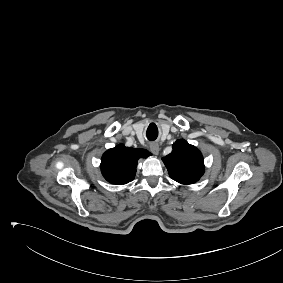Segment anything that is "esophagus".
Returning a JSON list of instances; mask_svg holds the SVG:
<instances>
[{"instance_id":"1","label":"esophagus","mask_w":283,"mask_h":283,"mask_svg":"<svg viewBox=\"0 0 283 283\" xmlns=\"http://www.w3.org/2000/svg\"><path fill=\"white\" fill-rule=\"evenodd\" d=\"M159 145L156 143H152L150 145V151L154 154V155H158L159 154Z\"/></svg>"}]
</instances>
